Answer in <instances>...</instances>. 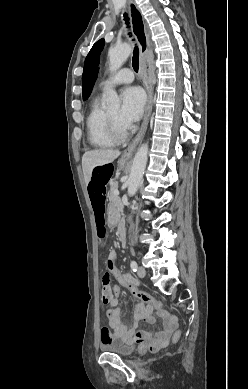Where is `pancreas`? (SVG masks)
<instances>
[{
  "label": "pancreas",
  "instance_id": "cf45deb5",
  "mask_svg": "<svg viewBox=\"0 0 248 389\" xmlns=\"http://www.w3.org/2000/svg\"><path fill=\"white\" fill-rule=\"evenodd\" d=\"M118 190V182L110 183V192H109V201L112 207L117 210L122 209V203L118 195L115 194V191Z\"/></svg>",
  "mask_w": 248,
  "mask_h": 389
}]
</instances>
